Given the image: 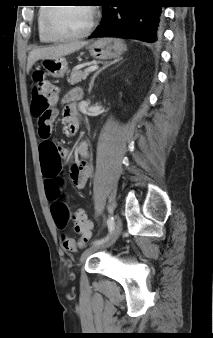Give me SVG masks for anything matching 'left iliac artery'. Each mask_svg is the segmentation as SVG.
I'll return each mask as SVG.
<instances>
[{"label": "left iliac artery", "instance_id": "obj_1", "mask_svg": "<svg viewBox=\"0 0 213 338\" xmlns=\"http://www.w3.org/2000/svg\"><path fill=\"white\" fill-rule=\"evenodd\" d=\"M110 212H112V209L109 208ZM107 226H108V230H109V234L112 233V231L114 230V226H115V222H114V218L113 216H110L107 220ZM109 238V236L107 235V237L103 238V239H99L93 242V244H99L102 243L104 241H106Z\"/></svg>", "mask_w": 213, "mask_h": 338}]
</instances>
